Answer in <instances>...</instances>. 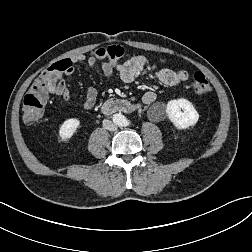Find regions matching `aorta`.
<instances>
[{"label": "aorta", "mask_w": 252, "mask_h": 252, "mask_svg": "<svg viewBox=\"0 0 252 252\" xmlns=\"http://www.w3.org/2000/svg\"><path fill=\"white\" fill-rule=\"evenodd\" d=\"M113 121L116 125L123 127L127 125V119L124 115H122L121 113H116L113 115Z\"/></svg>", "instance_id": "obj_1"}]
</instances>
